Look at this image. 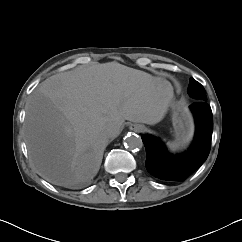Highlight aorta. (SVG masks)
<instances>
[{
    "label": "aorta",
    "mask_w": 242,
    "mask_h": 242,
    "mask_svg": "<svg viewBox=\"0 0 242 242\" xmlns=\"http://www.w3.org/2000/svg\"><path fill=\"white\" fill-rule=\"evenodd\" d=\"M125 146L129 149H138L143 145L142 139L136 134H128L125 137Z\"/></svg>",
    "instance_id": "aorta-1"
}]
</instances>
